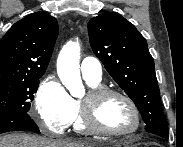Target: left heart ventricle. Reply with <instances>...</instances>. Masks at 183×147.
<instances>
[{
  "mask_svg": "<svg viewBox=\"0 0 183 147\" xmlns=\"http://www.w3.org/2000/svg\"><path fill=\"white\" fill-rule=\"evenodd\" d=\"M101 124L111 130L128 132L134 129L136 120L128 103L112 96L100 102L97 110Z\"/></svg>",
  "mask_w": 183,
  "mask_h": 147,
  "instance_id": "1",
  "label": "left heart ventricle"
}]
</instances>
